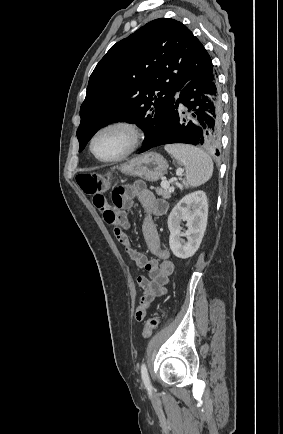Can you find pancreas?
<instances>
[{"label":"pancreas","instance_id":"obj_1","mask_svg":"<svg viewBox=\"0 0 283 434\" xmlns=\"http://www.w3.org/2000/svg\"><path fill=\"white\" fill-rule=\"evenodd\" d=\"M173 190H174L173 187L163 188V187L161 186V188H157V189H156V193H157L159 196L163 197L164 199H169L170 196H171V192H172Z\"/></svg>","mask_w":283,"mask_h":434}]
</instances>
